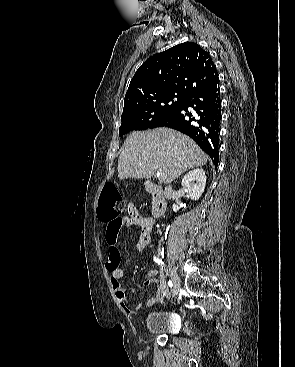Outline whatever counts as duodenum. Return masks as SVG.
<instances>
[{
  "label": "duodenum",
  "instance_id": "1",
  "mask_svg": "<svg viewBox=\"0 0 295 367\" xmlns=\"http://www.w3.org/2000/svg\"><path fill=\"white\" fill-rule=\"evenodd\" d=\"M145 188L147 192L151 194L153 199L152 215L154 217H160L164 214L167 207V201L163 189L150 181L145 183Z\"/></svg>",
  "mask_w": 295,
  "mask_h": 367
}]
</instances>
